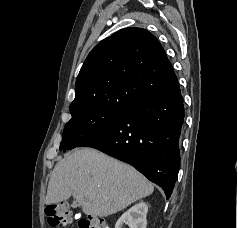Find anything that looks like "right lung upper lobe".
<instances>
[{"instance_id": "obj_1", "label": "right lung upper lobe", "mask_w": 238, "mask_h": 228, "mask_svg": "<svg viewBox=\"0 0 238 228\" xmlns=\"http://www.w3.org/2000/svg\"><path fill=\"white\" fill-rule=\"evenodd\" d=\"M177 82L157 38L142 28H124L89 53L69 109L75 112L92 106H129Z\"/></svg>"}]
</instances>
